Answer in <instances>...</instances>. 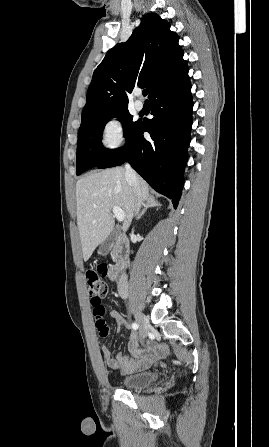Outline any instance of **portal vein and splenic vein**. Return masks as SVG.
Here are the masks:
<instances>
[{"label": "portal vein and splenic vein", "mask_w": 269, "mask_h": 447, "mask_svg": "<svg viewBox=\"0 0 269 447\" xmlns=\"http://www.w3.org/2000/svg\"><path fill=\"white\" fill-rule=\"evenodd\" d=\"M113 214L116 216L118 222H123L125 216L123 210L121 208H117V206H114L113 208Z\"/></svg>", "instance_id": "portal-vein-and-splenic-vein-1"}]
</instances>
